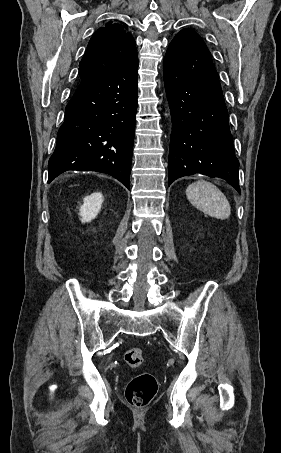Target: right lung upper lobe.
<instances>
[{
    "mask_svg": "<svg viewBox=\"0 0 281 453\" xmlns=\"http://www.w3.org/2000/svg\"><path fill=\"white\" fill-rule=\"evenodd\" d=\"M126 29L125 24L108 22L93 34L79 64L81 81L106 76L137 53L135 40Z\"/></svg>",
    "mask_w": 281,
    "mask_h": 453,
    "instance_id": "1",
    "label": "right lung upper lobe"
}]
</instances>
